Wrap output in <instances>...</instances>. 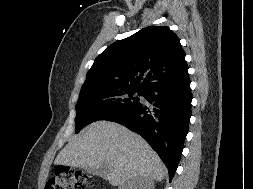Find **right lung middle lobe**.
<instances>
[{
    "label": "right lung middle lobe",
    "instance_id": "dd1d6c3e",
    "mask_svg": "<svg viewBox=\"0 0 253 189\" xmlns=\"http://www.w3.org/2000/svg\"><path fill=\"white\" fill-rule=\"evenodd\" d=\"M143 91L126 86H107L80 93L76 104L75 132L98 120H106L111 116L133 108L139 98L133 96Z\"/></svg>",
    "mask_w": 253,
    "mask_h": 189
}]
</instances>
